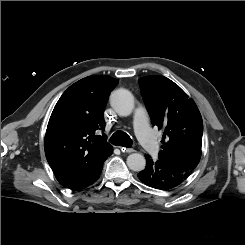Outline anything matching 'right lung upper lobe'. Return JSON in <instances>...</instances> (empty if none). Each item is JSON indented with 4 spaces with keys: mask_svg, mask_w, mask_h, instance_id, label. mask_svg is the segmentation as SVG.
<instances>
[{
    "mask_svg": "<svg viewBox=\"0 0 245 245\" xmlns=\"http://www.w3.org/2000/svg\"><path fill=\"white\" fill-rule=\"evenodd\" d=\"M118 80L89 76L71 85L60 97L48 122L44 148L60 184L68 186L113 152L101 131L103 112Z\"/></svg>",
    "mask_w": 245,
    "mask_h": 245,
    "instance_id": "cb5924a9",
    "label": "right lung upper lobe"
}]
</instances>
